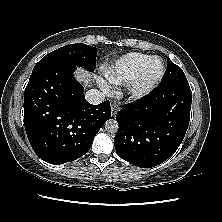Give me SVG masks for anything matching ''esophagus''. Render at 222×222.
Returning a JSON list of instances; mask_svg holds the SVG:
<instances>
[{"instance_id": "obj_1", "label": "esophagus", "mask_w": 222, "mask_h": 222, "mask_svg": "<svg viewBox=\"0 0 222 222\" xmlns=\"http://www.w3.org/2000/svg\"><path fill=\"white\" fill-rule=\"evenodd\" d=\"M118 110H119V105L117 103H113L111 105V114L113 117L117 114Z\"/></svg>"}]
</instances>
